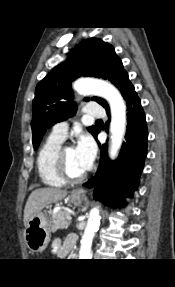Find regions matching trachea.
<instances>
[{"mask_svg": "<svg viewBox=\"0 0 175 287\" xmlns=\"http://www.w3.org/2000/svg\"><path fill=\"white\" fill-rule=\"evenodd\" d=\"M96 122H103L101 119H98Z\"/></svg>", "mask_w": 175, "mask_h": 287, "instance_id": "trachea-1", "label": "trachea"}]
</instances>
